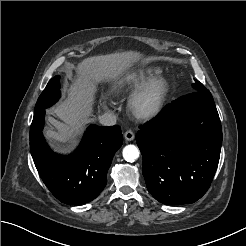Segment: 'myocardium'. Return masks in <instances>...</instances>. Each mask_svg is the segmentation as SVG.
Wrapping results in <instances>:
<instances>
[{
    "label": "myocardium",
    "instance_id": "obj_1",
    "mask_svg": "<svg viewBox=\"0 0 246 246\" xmlns=\"http://www.w3.org/2000/svg\"><path fill=\"white\" fill-rule=\"evenodd\" d=\"M168 89V83L163 77H154L145 82L130 99L132 115L139 120L155 117L163 107Z\"/></svg>",
    "mask_w": 246,
    "mask_h": 246
}]
</instances>
